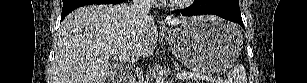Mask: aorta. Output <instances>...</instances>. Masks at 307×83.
Masks as SVG:
<instances>
[{
  "instance_id": "aorta-1",
  "label": "aorta",
  "mask_w": 307,
  "mask_h": 83,
  "mask_svg": "<svg viewBox=\"0 0 307 83\" xmlns=\"http://www.w3.org/2000/svg\"><path fill=\"white\" fill-rule=\"evenodd\" d=\"M156 83H164L163 77H161V76L159 77V76H158V77L156 78Z\"/></svg>"
}]
</instances>
